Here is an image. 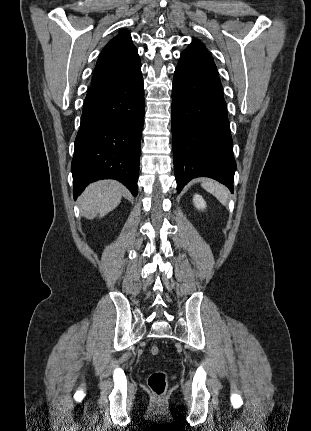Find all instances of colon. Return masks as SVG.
Listing matches in <instances>:
<instances>
[{
  "label": "colon",
  "mask_w": 311,
  "mask_h": 431,
  "mask_svg": "<svg viewBox=\"0 0 311 431\" xmlns=\"http://www.w3.org/2000/svg\"><path fill=\"white\" fill-rule=\"evenodd\" d=\"M150 353L156 356L159 353L157 346H152ZM148 385L156 396H161L167 387V374L164 371H155L148 378Z\"/></svg>",
  "instance_id": "colon-1"
}]
</instances>
